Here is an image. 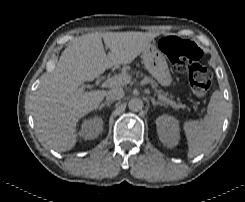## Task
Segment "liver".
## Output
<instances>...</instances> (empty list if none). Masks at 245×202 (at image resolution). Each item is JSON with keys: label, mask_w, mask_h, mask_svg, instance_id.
<instances>
[{"label": "liver", "mask_w": 245, "mask_h": 202, "mask_svg": "<svg viewBox=\"0 0 245 202\" xmlns=\"http://www.w3.org/2000/svg\"><path fill=\"white\" fill-rule=\"evenodd\" d=\"M156 36L132 31L95 32L66 47L36 91L33 117L41 141L57 151L72 149L77 142L78 121L97 109L106 94L103 90L84 92L82 83L113 66L132 63ZM102 39L110 49L107 55Z\"/></svg>", "instance_id": "1"}]
</instances>
